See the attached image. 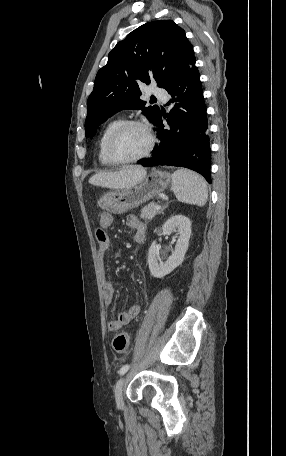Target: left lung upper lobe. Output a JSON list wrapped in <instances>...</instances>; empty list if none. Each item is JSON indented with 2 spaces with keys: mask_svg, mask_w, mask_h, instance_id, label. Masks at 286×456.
<instances>
[{
  "mask_svg": "<svg viewBox=\"0 0 286 456\" xmlns=\"http://www.w3.org/2000/svg\"><path fill=\"white\" fill-rule=\"evenodd\" d=\"M194 59L185 31L172 20L149 22L132 31L96 75L87 101L86 137L121 109H141L155 123L160 108L146 106L139 85L156 80L165 88Z\"/></svg>",
  "mask_w": 286,
  "mask_h": 456,
  "instance_id": "left-lung-upper-lobe-1",
  "label": "left lung upper lobe"
}]
</instances>
